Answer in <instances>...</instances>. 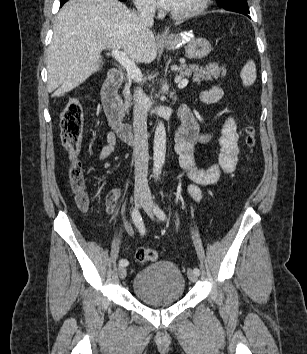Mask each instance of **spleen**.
Returning a JSON list of instances; mask_svg holds the SVG:
<instances>
[{"label":"spleen","mask_w":307,"mask_h":354,"mask_svg":"<svg viewBox=\"0 0 307 354\" xmlns=\"http://www.w3.org/2000/svg\"><path fill=\"white\" fill-rule=\"evenodd\" d=\"M240 77L244 86H250L255 82L256 66L253 60L247 61L241 70Z\"/></svg>","instance_id":"1"}]
</instances>
